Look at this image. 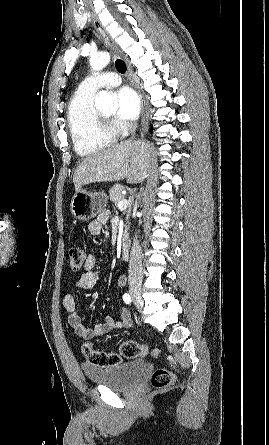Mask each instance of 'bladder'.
Listing matches in <instances>:
<instances>
[{
	"label": "bladder",
	"instance_id": "1",
	"mask_svg": "<svg viewBox=\"0 0 269 445\" xmlns=\"http://www.w3.org/2000/svg\"><path fill=\"white\" fill-rule=\"evenodd\" d=\"M147 369L146 361L135 359L112 367L82 365L85 377L93 384L112 390H126L136 385Z\"/></svg>",
	"mask_w": 269,
	"mask_h": 445
}]
</instances>
